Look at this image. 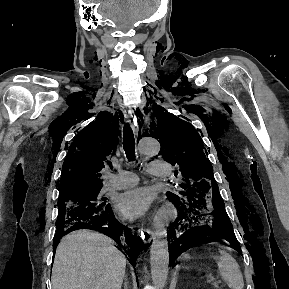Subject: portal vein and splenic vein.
Masks as SVG:
<instances>
[{
  "mask_svg": "<svg viewBox=\"0 0 289 289\" xmlns=\"http://www.w3.org/2000/svg\"><path fill=\"white\" fill-rule=\"evenodd\" d=\"M216 279L214 278V277H212V276H208L207 277V279H206V281L208 282V283H212V282H214Z\"/></svg>",
  "mask_w": 289,
  "mask_h": 289,
  "instance_id": "obj_1",
  "label": "portal vein and splenic vein"
}]
</instances>
